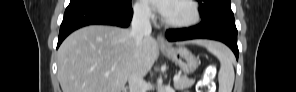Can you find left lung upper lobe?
Returning <instances> with one entry per match:
<instances>
[{"label":"left lung upper lobe","mask_w":296,"mask_h":92,"mask_svg":"<svg viewBox=\"0 0 296 92\" xmlns=\"http://www.w3.org/2000/svg\"><path fill=\"white\" fill-rule=\"evenodd\" d=\"M201 26L208 28L222 18H234L230 0H198Z\"/></svg>","instance_id":"5c2ea615"}]
</instances>
